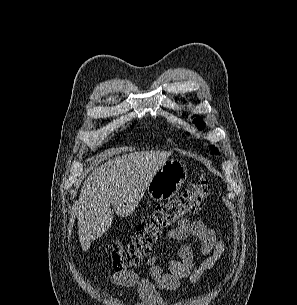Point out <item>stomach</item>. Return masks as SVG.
Masks as SVG:
<instances>
[{
    "mask_svg": "<svg viewBox=\"0 0 297 305\" xmlns=\"http://www.w3.org/2000/svg\"><path fill=\"white\" fill-rule=\"evenodd\" d=\"M186 178L187 168L182 161L167 160L152 177L146 189L153 200H169L179 192Z\"/></svg>",
    "mask_w": 297,
    "mask_h": 305,
    "instance_id": "stomach-1",
    "label": "stomach"
}]
</instances>
